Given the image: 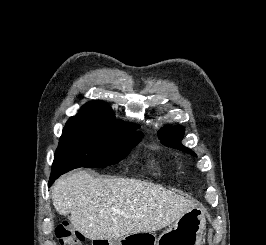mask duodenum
<instances>
[{"mask_svg":"<svg viewBox=\"0 0 266 245\" xmlns=\"http://www.w3.org/2000/svg\"><path fill=\"white\" fill-rule=\"evenodd\" d=\"M111 237H93V245H110Z\"/></svg>","mask_w":266,"mask_h":245,"instance_id":"duodenum-1","label":"duodenum"}]
</instances>
